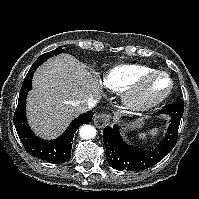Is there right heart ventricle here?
Returning a JSON list of instances; mask_svg holds the SVG:
<instances>
[{"label": "right heart ventricle", "mask_w": 199, "mask_h": 199, "mask_svg": "<svg viewBox=\"0 0 199 199\" xmlns=\"http://www.w3.org/2000/svg\"><path fill=\"white\" fill-rule=\"evenodd\" d=\"M154 68L139 64H122L111 68L103 77V84L112 91L120 92L133 88L138 81Z\"/></svg>", "instance_id": "e07e8e85"}]
</instances>
